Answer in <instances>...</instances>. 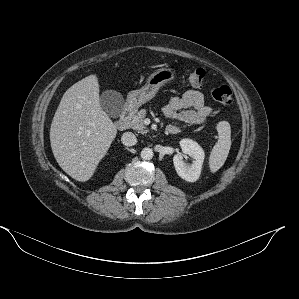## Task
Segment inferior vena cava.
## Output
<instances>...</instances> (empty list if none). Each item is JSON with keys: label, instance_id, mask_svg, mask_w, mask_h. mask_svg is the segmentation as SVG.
<instances>
[{"label": "inferior vena cava", "instance_id": "1", "mask_svg": "<svg viewBox=\"0 0 299 299\" xmlns=\"http://www.w3.org/2000/svg\"><path fill=\"white\" fill-rule=\"evenodd\" d=\"M121 141L125 146H134L137 143V138L132 132H125L121 137Z\"/></svg>", "mask_w": 299, "mask_h": 299}]
</instances>
